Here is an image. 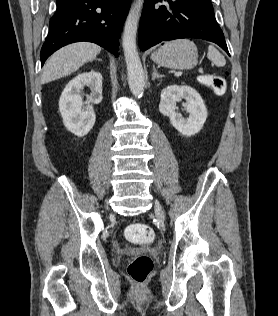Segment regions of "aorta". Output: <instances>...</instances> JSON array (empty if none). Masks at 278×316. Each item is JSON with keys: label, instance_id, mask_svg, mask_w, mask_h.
Here are the masks:
<instances>
[{"label": "aorta", "instance_id": "aorta-1", "mask_svg": "<svg viewBox=\"0 0 278 316\" xmlns=\"http://www.w3.org/2000/svg\"><path fill=\"white\" fill-rule=\"evenodd\" d=\"M142 7L143 0L134 1L125 22L122 38L129 88L132 94L138 98L142 97L145 86L143 68L136 46V34Z\"/></svg>", "mask_w": 278, "mask_h": 316}]
</instances>
